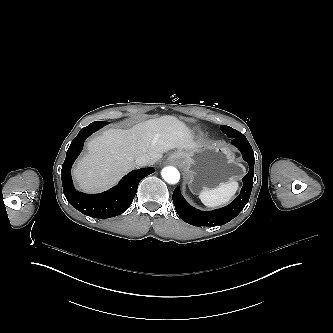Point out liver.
<instances>
[{"mask_svg":"<svg viewBox=\"0 0 333 333\" xmlns=\"http://www.w3.org/2000/svg\"><path fill=\"white\" fill-rule=\"evenodd\" d=\"M200 145L193 130L170 115L149 119L128 130L108 129L87 143L88 155L78 160L73 176L80 189L96 193L113 186L146 155L150 165L172 149L191 151Z\"/></svg>","mask_w":333,"mask_h":333,"instance_id":"liver-1","label":"liver"}]
</instances>
